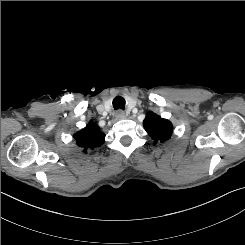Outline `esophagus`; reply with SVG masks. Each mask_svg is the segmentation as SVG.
Masks as SVG:
<instances>
[{
  "label": "esophagus",
  "mask_w": 245,
  "mask_h": 245,
  "mask_svg": "<svg viewBox=\"0 0 245 245\" xmlns=\"http://www.w3.org/2000/svg\"><path fill=\"white\" fill-rule=\"evenodd\" d=\"M116 117H117L118 119H124V118H126V115H125L124 111L118 110V111L116 112Z\"/></svg>",
  "instance_id": "obj_1"
}]
</instances>
